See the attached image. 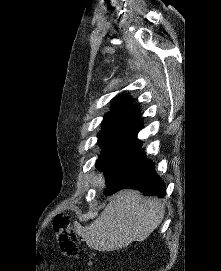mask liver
I'll return each mask as SVG.
<instances>
[{
    "label": "liver",
    "mask_w": 221,
    "mask_h": 271,
    "mask_svg": "<svg viewBox=\"0 0 221 271\" xmlns=\"http://www.w3.org/2000/svg\"><path fill=\"white\" fill-rule=\"evenodd\" d=\"M96 187H104L102 173L94 177ZM165 209L158 197L145 199L136 189H123L113 195L97 219L76 231L92 249L113 251L131 241H144L161 223Z\"/></svg>",
    "instance_id": "1"
}]
</instances>
